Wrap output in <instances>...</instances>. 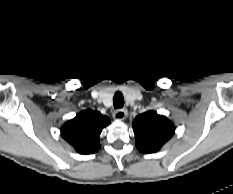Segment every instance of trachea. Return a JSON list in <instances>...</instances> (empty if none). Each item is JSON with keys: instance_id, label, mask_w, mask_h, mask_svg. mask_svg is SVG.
I'll return each mask as SVG.
<instances>
[{"instance_id": "1", "label": "trachea", "mask_w": 233, "mask_h": 194, "mask_svg": "<svg viewBox=\"0 0 233 194\" xmlns=\"http://www.w3.org/2000/svg\"><path fill=\"white\" fill-rule=\"evenodd\" d=\"M113 105L114 108H122L124 106V98L121 92H116L114 97H113Z\"/></svg>"}]
</instances>
